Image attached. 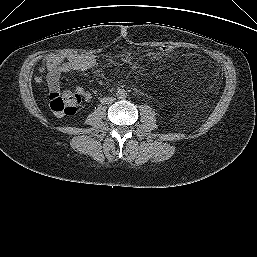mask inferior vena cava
<instances>
[{"instance_id":"inferior-vena-cava-1","label":"inferior vena cava","mask_w":257,"mask_h":257,"mask_svg":"<svg viewBox=\"0 0 257 257\" xmlns=\"http://www.w3.org/2000/svg\"><path fill=\"white\" fill-rule=\"evenodd\" d=\"M113 101H114L113 97H107V98H103V100L101 102L109 104V103H112Z\"/></svg>"}]
</instances>
